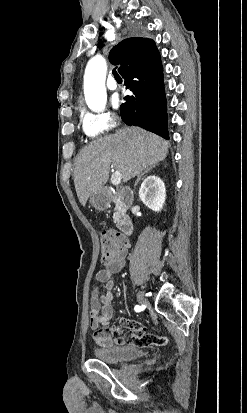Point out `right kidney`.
Here are the masks:
<instances>
[{
    "label": "right kidney",
    "mask_w": 247,
    "mask_h": 413,
    "mask_svg": "<svg viewBox=\"0 0 247 413\" xmlns=\"http://www.w3.org/2000/svg\"><path fill=\"white\" fill-rule=\"evenodd\" d=\"M165 190L166 188L163 180H161L159 176L151 174V176H147V178L143 180L139 188V196L142 202L146 204V207L159 213L165 202Z\"/></svg>",
    "instance_id": "1"
}]
</instances>
